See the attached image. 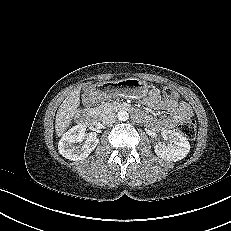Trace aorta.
Instances as JSON below:
<instances>
[{"label": "aorta", "mask_w": 231, "mask_h": 231, "mask_svg": "<svg viewBox=\"0 0 231 231\" xmlns=\"http://www.w3.org/2000/svg\"><path fill=\"white\" fill-rule=\"evenodd\" d=\"M117 115L120 121H126L129 118V114L124 110L119 111Z\"/></svg>", "instance_id": "aorta-1"}]
</instances>
